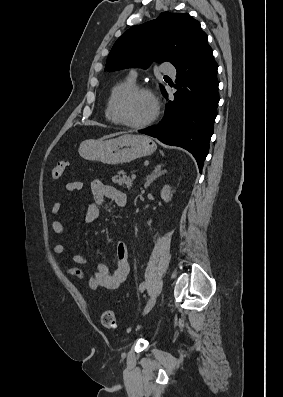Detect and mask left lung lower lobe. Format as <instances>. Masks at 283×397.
Returning <instances> with one entry per match:
<instances>
[{
    "label": "left lung lower lobe",
    "mask_w": 283,
    "mask_h": 397,
    "mask_svg": "<svg viewBox=\"0 0 283 397\" xmlns=\"http://www.w3.org/2000/svg\"><path fill=\"white\" fill-rule=\"evenodd\" d=\"M218 65L207 44L176 67L177 92L169 100L164 118L154 126L139 130L161 142L188 150L200 172L209 151L219 102ZM167 98L166 91L163 92Z\"/></svg>",
    "instance_id": "0a47b994"
}]
</instances>
